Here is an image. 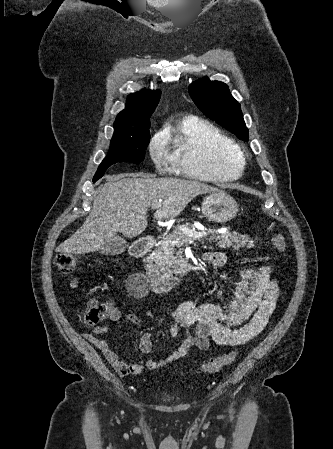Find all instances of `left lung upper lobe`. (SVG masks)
Here are the masks:
<instances>
[{
	"label": "left lung upper lobe",
	"instance_id": "obj_1",
	"mask_svg": "<svg viewBox=\"0 0 333 449\" xmlns=\"http://www.w3.org/2000/svg\"><path fill=\"white\" fill-rule=\"evenodd\" d=\"M189 93L205 116L235 133L240 139L248 140V129L240 104L232 97L226 84L203 78L189 86Z\"/></svg>",
	"mask_w": 333,
	"mask_h": 449
}]
</instances>
